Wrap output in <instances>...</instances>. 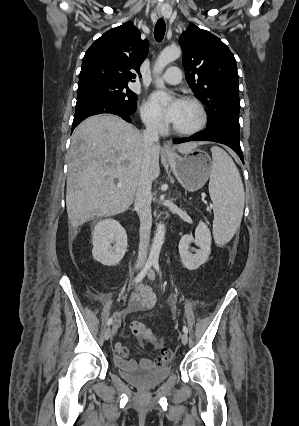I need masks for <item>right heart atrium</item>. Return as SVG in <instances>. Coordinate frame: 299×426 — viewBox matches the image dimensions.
Here are the masks:
<instances>
[{
  "instance_id": "d8ad5b80",
  "label": "right heart atrium",
  "mask_w": 299,
  "mask_h": 426,
  "mask_svg": "<svg viewBox=\"0 0 299 426\" xmlns=\"http://www.w3.org/2000/svg\"><path fill=\"white\" fill-rule=\"evenodd\" d=\"M141 116L144 123L151 129L159 130L163 127L162 120L153 113L147 103H144L141 107Z\"/></svg>"
}]
</instances>
